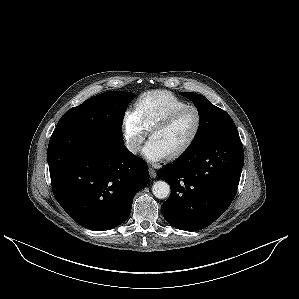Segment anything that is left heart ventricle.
I'll return each mask as SVG.
<instances>
[{
	"label": "left heart ventricle",
	"mask_w": 299,
	"mask_h": 299,
	"mask_svg": "<svg viewBox=\"0 0 299 299\" xmlns=\"http://www.w3.org/2000/svg\"><path fill=\"white\" fill-rule=\"evenodd\" d=\"M197 123L193 110L183 113L165 129L154 132L151 136L167 153V156L186 144L192 136Z\"/></svg>",
	"instance_id": "b2bd125f"
}]
</instances>
